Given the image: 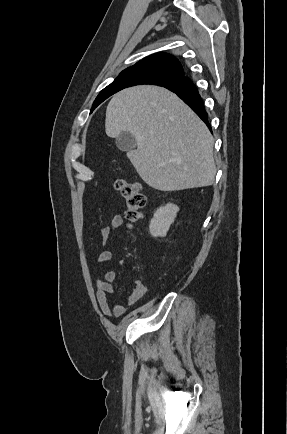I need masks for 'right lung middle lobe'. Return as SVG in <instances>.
I'll return each mask as SVG.
<instances>
[{"label":"right lung middle lobe","instance_id":"1","mask_svg":"<svg viewBox=\"0 0 287 434\" xmlns=\"http://www.w3.org/2000/svg\"><path fill=\"white\" fill-rule=\"evenodd\" d=\"M175 79H177L175 74L160 69L138 68L121 72L110 85L99 93L93 103L91 112L105 99L124 88L138 84H156Z\"/></svg>","mask_w":287,"mask_h":434}]
</instances>
